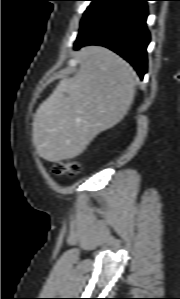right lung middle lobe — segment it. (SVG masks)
<instances>
[{
	"label": "right lung middle lobe",
	"instance_id": "right-lung-middle-lobe-1",
	"mask_svg": "<svg viewBox=\"0 0 180 299\" xmlns=\"http://www.w3.org/2000/svg\"><path fill=\"white\" fill-rule=\"evenodd\" d=\"M90 1H91V4L88 6L87 10L85 11V13L83 15V19H85L89 15H91L95 10H97L107 0H90Z\"/></svg>",
	"mask_w": 180,
	"mask_h": 299
}]
</instances>
